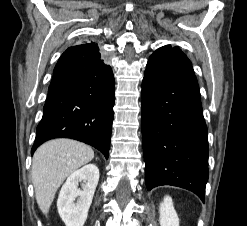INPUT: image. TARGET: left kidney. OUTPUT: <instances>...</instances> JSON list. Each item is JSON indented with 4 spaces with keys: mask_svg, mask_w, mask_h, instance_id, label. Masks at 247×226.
I'll use <instances>...</instances> for the list:
<instances>
[{
    "mask_svg": "<svg viewBox=\"0 0 247 226\" xmlns=\"http://www.w3.org/2000/svg\"><path fill=\"white\" fill-rule=\"evenodd\" d=\"M161 226H179V218L170 196H165L159 207Z\"/></svg>",
    "mask_w": 247,
    "mask_h": 226,
    "instance_id": "left-kidney-1",
    "label": "left kidney"
}]
</instances>
